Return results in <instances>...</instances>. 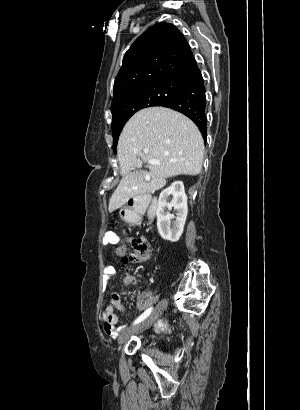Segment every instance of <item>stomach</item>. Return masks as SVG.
I'll return each mask as SVG.
<instances>
[{"label": "stomach", "mask_w": 300, "mask_h": 410, "mask_svg": "<svg viewBox=\"0 0 300 410\" xmlns=\"http://www.w3.org/2000/svg\"><path fill=\"white\" fill-rule=\"evenodd\" d=\"M127 212H128V210L122 209V210L120 211V215H121V216L126 215Z\"/></svg>", "instance_id": "0dacf381"}]
</instances>
